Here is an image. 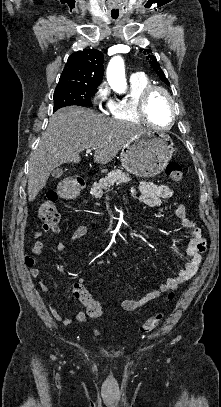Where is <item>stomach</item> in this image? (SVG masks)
Listing matches in <instances>:
<instances>
[{
	"mask_svg": "<svg viewBox=\"0 0 221 407\" xmlns=\"http://www.w3.org/2000/svg\"><path fill=\"white\" fill-rule=\"evenodd\" d=\"M174 153L173 141L165 133L144 131L131 139L121 151L122 166L138 177H153L164 170ZM71 198L78 191L70 189Z\"/></svg>",
	"mask_w": 221,
	"mask_h": 407,
	"instance_id": "obj_1",
	"label": "stomach"
}]
</instances>
